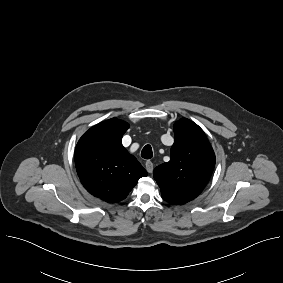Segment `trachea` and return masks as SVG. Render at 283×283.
<instances>
[{"label": "trachea", "mask_w": 283, "mask_h": 283, "mask_svg": "<svg viewBox=\"0 0 283 283\" xmlns=\"http://www.w3.org/2000/svg\"><path fill=\"white\" fill-rule=\"evenodd\" d=\"M141 156L144 159H150L153 157V151H152V147L150 145H146L141 152Z\"/></svg>", "instance_id": "3493384b"}]
</instances>
